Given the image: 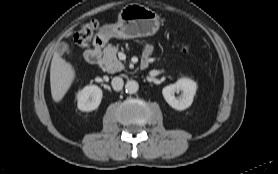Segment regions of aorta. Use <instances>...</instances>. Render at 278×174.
Wrapping results in <instances>:
<instances>
[{
  "label": "aorta",
  "mask_w": 278,
  "mask_h": 174,
  "mask_svg": "<svg viewBox=\"0 0 278 174\" xmlns=\"http://www.w3.org/2000/svg\"><path fill=\"white\" fill-rule=\"evenodd\" d=\"M126 92L129 94H134L139 89V84L135 80H129L127 81L125 85Z\"/></svg>",
  "instance_id": "1"
}]
</instances>
